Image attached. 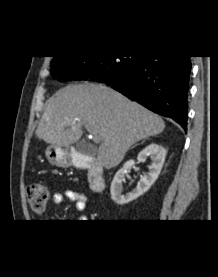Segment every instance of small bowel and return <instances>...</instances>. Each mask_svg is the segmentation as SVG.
Here are the masks:
<instances>
[{
  "instance_id": "c3829d8e",
  "label": "small bowel",
  "mask_w": 218,
  "mask_h": 277,
  "mask_svg": "<svg viewBox=\"0 0 218 277\" xmlns=\"http://www.w3.org/2000/svg\"><path fill=\"white\" fill-rule=\"evenodd\" d=\"M65 199L73 201L75 203V209L79 213V219L85 220L86 216L83 214L87 207V196L83 192L67 189L63 192L54 193L52 196V202L56 205L61 204Z\"/></svg>"
}]
</instances>
